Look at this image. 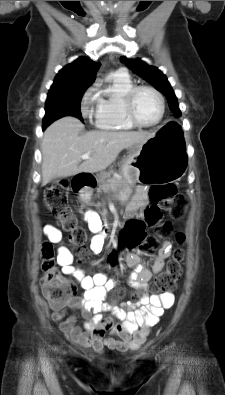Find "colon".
<instances>
[{
  "label": "colon",
  "mask_w": 225,
  "mask_h": 395,
  "mask_svg": "<svg viewBox=\"0 0 225 395\" xmlns=\"http://www.w3.org/2000/svg\"><path fill=\"white\" fill-rule=\"evenodd\" d=\"M148 195L151 205L145 211L144 220H138V217L134 216L133 220L125 225L122 232L121 242L123 244L115 245L114 249H110L107 262H110L111 266H115L118 262L117 250L128 251L129 248L134 250L138 247L144 255L150 256L156 253L158 239L155 236H146L145 227L146 224H155L161 210L168 211L175 220L182 219L187 212L188 198L179 193L174 184L153 185L150 187ZM44 202L47 210L60 221L62 228L70 233L72 243L80 249V259L87 260L89 256L84 249L87 236L85 231L78 226L70 207L69 185L66 182L50 185L45 191ZM169 231L170 224H164L161 228L162 234L166 235ZM176 240L179 245H182L185 236L178 233ZM41 259L43 293L52 308L63 310L73 296V284L61 274L52 243L45 242L43 244ZM183 260L184 251L178 247L168 261L166 269L154 280L152 289L161 293L173 291L182 273ZM115 270L119 271L120 267L116 266ZM118 295L123 296L124 292L119 291ZM141 296L142 292L138 291L135 298L140 300Z\"/></svg>",
  "instance_id": "obj_1"
}]
</instances>
